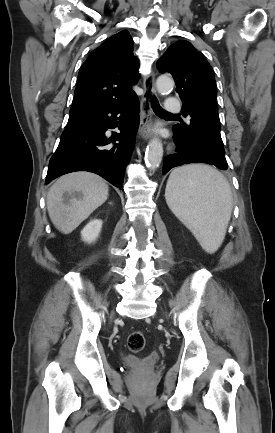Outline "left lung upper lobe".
Segmentation results:
<instances>
[{
  "label": "left lung upper lobe",
  "mask_w": 275,
  "mask_h": 433,
  "mask_svg": "<svg viewBox=\"0 0 275 433\" xmlns=\"http://www.w3.org/2000/svg\"><path fill=\"white\" fill-rule=\"evenodd\" d=\"M157 69L173 75L187 122L173 126L174 136L196 160L228 168L220 135L217 90L213 69L202 53L185 40L172 44Z\"/></svg>",
  "instance_id": "left-lung-upper-lobe-1"
}]
</instances>
